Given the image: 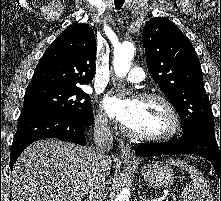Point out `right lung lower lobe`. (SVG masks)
I'll list each match as a JSON object with an SVG mask.
<instances>
[{
    "mask_svg": "<svg viewBox=\"0 0 221 201\" xmlns=\"http://www.w3.org/2000/svg\"><path fill=\"white\" fill-rule=\"evenodd\" d=\"M91 124L70 115L46 111L21 113L11 146L10 168L29 144L40 139L57 138L85 145L87 128Z\"/></svg>",
    "mask_w": 221,
    "mask_h": 201,
    "instance_id": "98d812e1",
    "label": "right lung lower lobe"
}]
</instances>
